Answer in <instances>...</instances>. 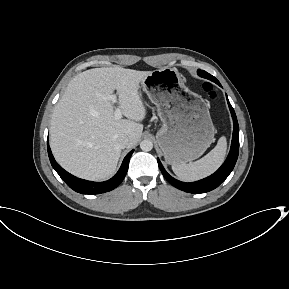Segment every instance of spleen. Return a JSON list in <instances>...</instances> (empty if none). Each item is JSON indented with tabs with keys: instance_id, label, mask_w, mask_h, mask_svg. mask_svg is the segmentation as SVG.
I'll list each match as a JSON object with an SVG mask.
<instances>
[{
	"instance_id": "1",
	"label": "spleen",
	"mask_w": 289,
	"mask_h": 289,
	"mask_svg": "<svg viewBox=\"0 0 289 289\" xmlns=\"http://www.w3.org/2000/svg\"><path fill=\"white\" fill-rule=\"evenodd\" d=\"M227 149V141L220 137L217 145L207 155L189 164H174L172 170L178 178L191 182L205 178L215 172L223 163Z\"/></svg>"
}]
</instances>
